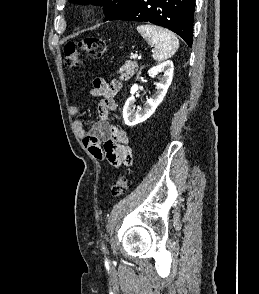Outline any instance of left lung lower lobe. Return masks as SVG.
<instances>
[{
  "label": "left lung lower lobe",
  "mask_w": 259,
  "mask_h": 294,
  "mask_svg": "<svg viewBox=\"0 0 259 294\" xmlns=\"http://www.w3.org/2000/svg\"><path fill=\"white\" fill-rule=\"evenodd\" d=\"M195 0H135L108 20L144 21L168 28L192 46Z\"/></svg>",
  "instance_id": "obj_1"
}]
</instances>
